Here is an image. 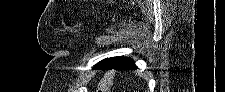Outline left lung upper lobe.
<instances>
[{
    "label": "left lung upper lobe",
    "instance_id": "obj_1",
    "mask_svg": "<svg viewBox=\"0 0 225 92\" xmlns=\"http://www.w3.org/2000/svg\"><path fill=\"white\" fill-rule=\"evenodd\" d=\"M104 60H105V59H104ZM104 60L98 62V63L94 66V68H96L98 65H100Z\"/></svg>",
    "mask_w": 225,
    "mask_h": 92
}]
</instances>
